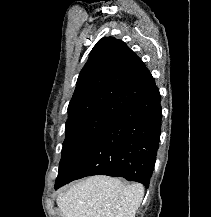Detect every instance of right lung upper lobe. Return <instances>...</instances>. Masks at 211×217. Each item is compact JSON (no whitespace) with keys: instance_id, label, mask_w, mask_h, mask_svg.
Listing matches in <instances>:
<instances>
[{"instance_id":"obj_1","label":"right lung upper lobe","mask_w":211,"mask_h":217,"mask_svg":"<svg viewBox=\"0 0 211 217\" xmlns=\"http://www.w3.org/2000/svg\"><path fill=\"white\" fill-rule=\"evenodd\" d=\"M155 86L145 64L123 41L104 37L79 74L68 120L95 113L118 115Z\"/></svg>"}]
</instances>
